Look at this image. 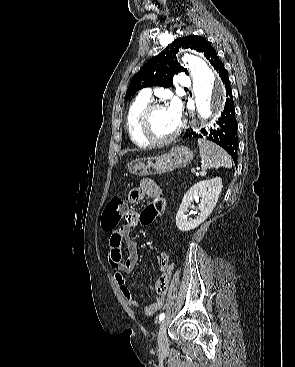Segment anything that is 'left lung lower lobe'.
Wrapping results in <instances>:
<instances>
[{"instance_id":"1","label":"left lung lower lobe","mask_w":295,"mask_h":367,"mask_svg":"<svg viewBox=\"0 0 295 367\" xmlns=\"http://www.w3.org/2000/svg\"><path fill=\"white\" fill-rule=\"evenodd\" d=\"M213 67L218 72L226 89V102L221 116L216 122L217 126L215 129H210V131H205L201 129V131L195 132L192 130V128L187 129L185 134L183 135V138L206 137L208 140L224 148L230 154L234 162H237V122L235 118V107L232 98L229 77L223 63L219 58L215 60Z\"/></svg>"}]
</instances>
